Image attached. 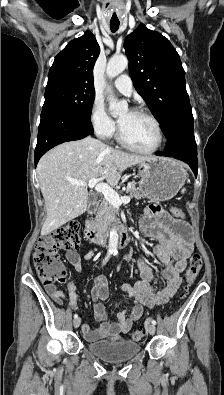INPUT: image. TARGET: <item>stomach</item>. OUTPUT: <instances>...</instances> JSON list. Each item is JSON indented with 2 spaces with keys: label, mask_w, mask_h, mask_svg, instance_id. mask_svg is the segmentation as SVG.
Listing matches in <instances>:
<instances>
[{
  "label": "stomach",
  "mask_w": 224,
  "mask_h": 395,
  "mask_svg": "<svg viewBox=\"0 0 224 395\" xmlns=\"http://www.w3.org/2000/svg\"><path fill=\"white\" fill-rule=\"evenodd\" d=\"M139 191L145 198L167 201L173 198L186 180V171L177 161L151 157L139 163Z\"/></svg>",
  "instance_id": "obj_1"
}]
</instances>
